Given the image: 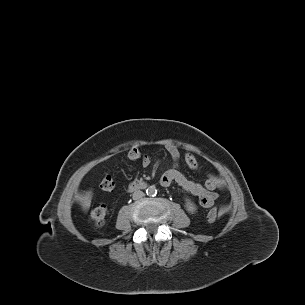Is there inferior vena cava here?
<instances>
[{
    "label": "inferior vena cava",
    "mask_w": 305,
    "mask_h": 305,
    "mask_svg": "<svg viewBox=\"0 0 305 305\" xmlns=\"http://www.w3.org/2000/svg\"><path fill=\"white\" fill-rule=\"evenodd\" d=\"M143 196H144V193H143L142 191H140V190H137V191H135V192L133 193L132 198H133L134 200H138V199L142 198Z\"/></svg>",
    "instance_id": "inferior-vena-cava-1"
}]
</instances>
